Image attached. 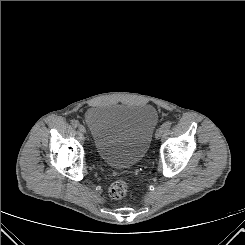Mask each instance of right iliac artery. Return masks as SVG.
<instances>
[{
  "instance_id": "1",
  "label": "right iliac artery",
  "mask_w": 245,
  "mask_h": 245,
  "mask_svg": "<svg viewBox=\"0 0 245 245\" xmlns=\"http://www.w3.org/2000/svg\"><path fill=\"white\" fill-rule=\"evenodd\" d=\"M71 124H72V126L73 127H78L79 126V121L78 120H75V119H73L72 121H71Z\"/></svg>"
}]
</instances>
